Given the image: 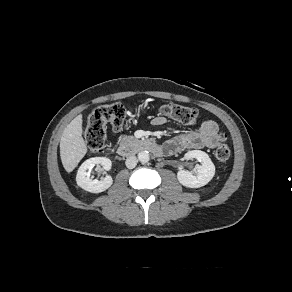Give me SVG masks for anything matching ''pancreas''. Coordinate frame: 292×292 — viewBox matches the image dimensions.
Returning <instances> with one entry per match:
<instances>
[{"label": "pancreas", "instance_id": "pancreas-1", "mask_svg": "<svg viewBox=\"0 0 292 292\" xmlns=\"http://www.w3.org/2000/svg\"><path fill=\"white\" fill-rule=\"evenodd\" d=\"M128 139L133 140L134 137L133 136H125V137H123L122 141L124 142V141H127ZM134 140H136V139H134Z\"/></svg>", "mask_w": 292, "mask_h": 292}]
</instances>
